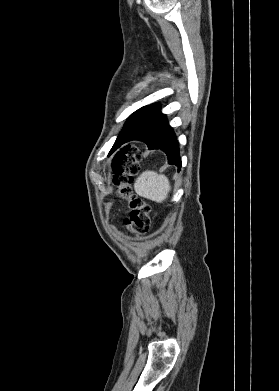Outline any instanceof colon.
<instances>
[{"label":"colon","instance_id":"colon-1","mask_svg":"<svg viewBox=\"0 0 279 391\" xmlns=\"http://www.w3.org/2000/svg\"><path fill=\"white\" fill-rule=\"evenodd\" d=\"M140 158V152L135 147L126 146L115 156L112 164L114 184L120 196L128 201L130 208V214L124 220V226L137 236L147 233L150 227V206L134 196L130 190V182L138 169Z\"/></svg>","mask_w":279,"mask_h":391}]
</instances>
